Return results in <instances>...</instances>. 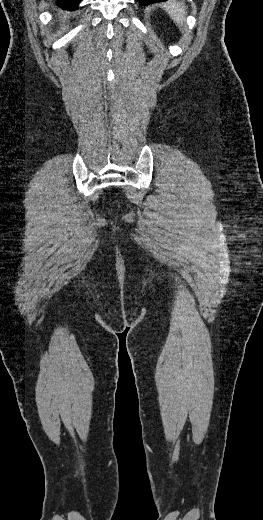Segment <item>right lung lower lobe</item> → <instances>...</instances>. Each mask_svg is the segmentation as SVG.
Instances as JSON below:
<instances>
[{"label": "right lung lower lobe", "mask_w": 263, "mask_h": 520, "mask_svg": "<svg viewBox=\"0 0 263 520\" xmlns=\"http://www.w3.org/2000/svg\"><path fill=\"white\" fill-rule=\"evenodd\" d=\"M80 0H57V4L64 9L74 10L78 6Z\"/></svg>", "instance_id": "1"}]
</instances>
